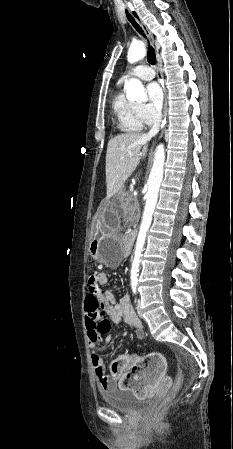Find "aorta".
I'll return each instance as SVG.
<instances>
[{
    "mask_svg": "<svg viewBox=\"0 0 233 449\" xmlns=\"http://www.w3.org/2000/svg\"><path fill=\"white\" fill-rule=\"evenodd\" d=\"M146 47L142 41L134 42L130 45L127 60L133 64L145 57ZM125 91L128 100H147V94L145 92L142 82L136 78H131L125 83ZM165 162V149L163 144H159L156 147L153 166L148 179V191L146 193V204L144 207L142 222L138 233L135 252L131 267V277L137 278L139 265L141 261V254L143 246L146 240L147 231L152 222L153 212L155 210L158 193L161 182L163 180V169Z\"/></svg>",
    "mask_w": 233,
    "mask_h": 449,
    "instance_id": "aorta-1",
    "label": "aorta"
}]
</instances>
